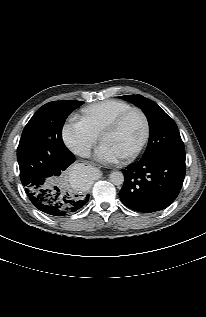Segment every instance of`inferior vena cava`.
<instances>
[{
    "label": "inferior vena cava",
    "mask_w": 206,
    "mask_h": 317,
    "mask_svg": "<svg viewBox=\"0 0 206 317\" xmlns=\"http://www.w3.org/2000/svg\"><path fill=\"white\" fill-rule=\"evenodd\" d=\"M75 153L77 155H79L80 157H84V158H88L90 157V149L86 148V147H79L76 149Z\"/></svg>",
    "instance_id": "602c4592"
}]
</instances>
